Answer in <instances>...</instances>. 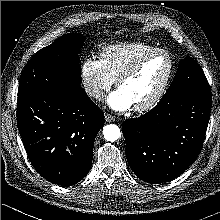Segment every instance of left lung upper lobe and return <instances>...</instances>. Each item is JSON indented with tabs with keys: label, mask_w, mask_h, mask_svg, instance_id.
<instances>
[{
	"label": "left lung upper lobe",
	"mask_w": 220,
	"mask_h": 220,
	"mask_svg": "<svg viewBox=\"0 0 220 220\" xmlns=\"http://www.w3.org/2000/svg\"><path fill=\"white\" fill-rule=\"evenodd\" d=\"M206 89H209V84L203 70L192 57L187 56L180 60L173 82L159 102H166L193 91Z\"/></svg>",
	"instance_id": "5c2ea615"
}]
</instances>
